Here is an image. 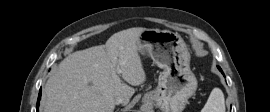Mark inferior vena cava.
<instances>
[{
  "label": "inferior vena cava",
  "instance_id": "602c4592",
  "mask_svg": "<svg viewBox=\"0 0 270 112\" xmlns=\"http://www.w3.org/2000/svg\"><path fill=\"white\" fill-rule=\"evenodd\" d=\"M114 103H115L116 105L124 104V103H126V99H125L123 96L118 95V96L115 97Z\"/></svg>",
  "mask_w": 270,
  "mask_h": 112
}]
</instances>
